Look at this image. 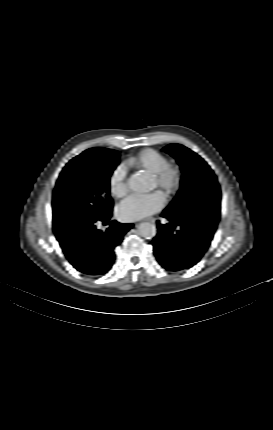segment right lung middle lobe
I'll use <instances>...</instances> for the list:
<instances>
[{"label":"right lung middle lobe","instance_id":"dd1d6c3e","mask_svg":"<svg viewBox=\"0 0 273 430\" xmlns=\"http://www.w3.org/2000/svg\"><path fill=\"white\" fill-rule=\"evenodd\" d=\"M119 152L86 150L64 167L53 192L56 237L71 233L111 213L110 177Z\"/></svg>","mask_w":273,"mask_h":430}]
</instances>
